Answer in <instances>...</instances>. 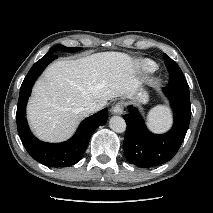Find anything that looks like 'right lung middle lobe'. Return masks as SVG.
Here are the masks:
<instances>
[{
	"label": "right lung middle lobe",
	"instance_id": "right-lung-middle-lobe-1",
	"mask_svg": "<svg viewBox=\"0 0 213 213\" xmlns=\"http://www.w3.org/2000/svg\"><path fill=\"white\" fill-rule=\"evenodd\" d=\"M81 50V48L78 47H66L63 45H55L53 46L46 55H50L53 54L56 51H64V52H76Z\"/></svg>",
	"mask_w": 213,
	"mask_h": 213
}]
</instances>
